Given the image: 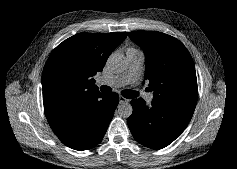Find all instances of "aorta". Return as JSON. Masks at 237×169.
Here are the masks:
<instances>
[{
  "instance_id": "aorta-1",
  "label": "aorta",
  "mask_w": 237,
  "mask_h": 169,
  "mask_svg": "<svg viewBox=\"0 0 237 169\" xmlns=\"http://www.w3.org/2000/svg\"><path fill=\"white\" fill-rule=\"evenodd\" d=\"M107 64L114 73H121L126 68V58L123 54L113 53L109 56ZM132 112L133 108L128 102L123 101L117 106L116 113L122 118L130 117Z\"/></svg>"
}]
</instances>
